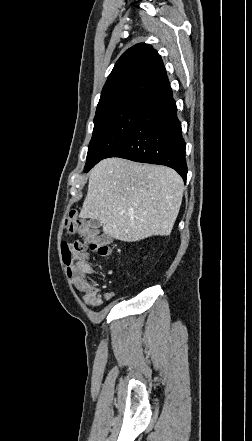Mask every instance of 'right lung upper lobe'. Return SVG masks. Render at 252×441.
<instances>
[{"label": "right lung upper lobe", "mask_w": 252, "mask_h": 441, "mask_svg": "<svg viewBox=\"0 0 252 441\" xmlns=\"http://www.w3.org/2000/svg\"><path fill=\"white\" fill-rule=\"evenodd\" d=\"M168 84L157 51L148 44H136L116 62L101 92L96 113L132 100L146 99Z\"/></svg>", "instance_id": "right-lung-upper-lobe-1"}]
</instances>
